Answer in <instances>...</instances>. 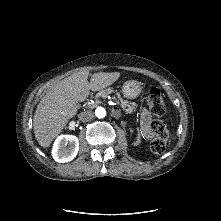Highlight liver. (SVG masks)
Masks as SVG:
<instances>
[{
  "label": "liver",
  "instance_id": "obj_1",
  "mask_svg": "<svg viewBox=\"0 0 221 221\" xmlns=\"http://www.w3.org/2000/svg\"><path fill=\"white\" fill-rule=\"evenodd\" d=\"M89 71H79L55 84L41 99L34 113L33 128L39 145L47 148L62 132L68 121L77 114V101L86 100L90 90H102L119 77V72L94 73L88 82Z\"/></svg>",
  "mask_w": 221,
  "mask_h": 221
}]
</instances>
